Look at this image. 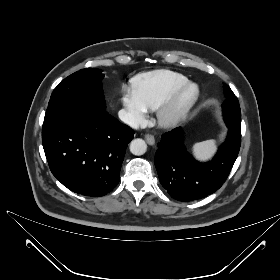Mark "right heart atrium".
<instances>
[{"mask_svg": "<svg viewBox=\"0 0 280 280\" xmlns=\"http://www.w3.org/2000/svg\"><path fill=\"white\" fill-rule=\"evenodd\" d=\"M122 104L129 119V122L138 126L145 121L147 110L140 103L135 92L127 87L122 90Z\"/></svg>", "mask_w": 280, "mask_h": 280, "instance_id": "right-heart-atrium-1", "label": "right heart atrium"}]
</instances>
